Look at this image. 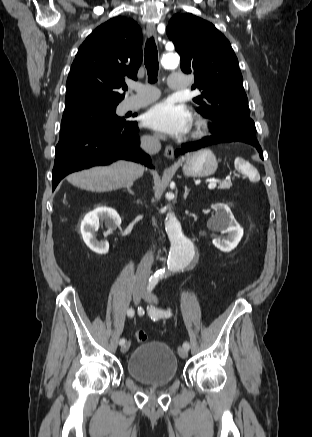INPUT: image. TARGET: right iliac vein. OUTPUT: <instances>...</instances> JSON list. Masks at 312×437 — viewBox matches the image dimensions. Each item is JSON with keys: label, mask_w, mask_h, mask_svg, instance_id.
Here are the masks:
<instances>
[{"label": "right iliac vein", "mask_w": 312, "mask_h": 437, "mask_svg": "<svg viewBox=\"0 0 312 437\" xmlns=\"http://www.w3.org/2000/svg\"><path fill=\"white\" fill-rule=\"evenodd\" d=\"M143 290H144L143 282L137 280L133 287V300L136 305H138L141 301V298L143 296ZM129 347H130V342H126L121 346V352L122 353L127 352Z\"/></svg>", "instance_id": "1"}]
</instances>
